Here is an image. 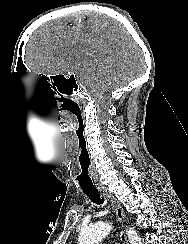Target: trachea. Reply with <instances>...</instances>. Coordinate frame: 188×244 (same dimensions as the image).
<instances>
[{
    "mask_svg": "<svg viewBox=\"0 0 188 244\" xmlns=\"http://www.w3.org/2000/svg\"><path fill=\"white\" fill-rule=\"evenodd\" d=\"M81 188L85 195L95 204H103L104 199L100 198L98 189L95 188L96 180H80Z\"/></svg>",
    "mask_w": 188,
    "mask_h": 244,
    "instance_id": "3493384b",
    "label": "trachea"
}]
</instances>
